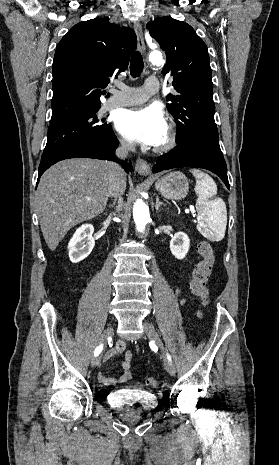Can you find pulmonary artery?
<instances>
[{"mask_svg":"<svg viewBox=\"0 0 279 465\" xmlns=\"http://www.w3.org/2000/svg\"><path fill=\"white\" fill-rule=\"evenodd\" d=\"M159 89L156 77H149L142 87H123L120 91L115 90L105 104L106 108L130 106L145 102Z\"/></svg>","mask_w":279,"mask_h":465,"instance_id":"pulmonary-artery-1","label":"pulmonary artery"}]
</instances>
